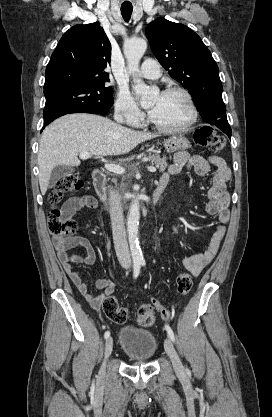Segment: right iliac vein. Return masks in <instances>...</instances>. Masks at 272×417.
I'll return each mask as SVG.
<instances>
[{
    "label": "right iliac vein",
    "mask_w": 272,
    "mask_h": 417,
    "mask_svg": "<svg viewBox=\"0 0 272 417\" xmlns=\"http://www.w3.org/2000/svg\"><path fill=\"white\" fill-rule=\"evenodd\" d=\"M112 350H113V338L108 337L107 340H106V343H105V353H104L105 361L111 355ZM105 361H104L103 368H102V371H101L102 374L104 373Z\"/></svg>",
    "instance_id": "1"
}]
</instances>
